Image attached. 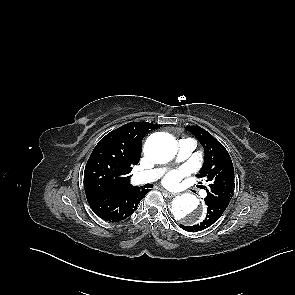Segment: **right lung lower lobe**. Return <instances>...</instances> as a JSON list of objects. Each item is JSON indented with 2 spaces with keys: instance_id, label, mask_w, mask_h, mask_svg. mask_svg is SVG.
I'll use <instances>...</instances> for the list:
<instances>
[{
  "instance_id": "right-lung-lower-lobe-1",
  "label": "right lung lower lobe",
  "mask_w": 295,
  "mask_h": 295,
  "mask_svg": "<svg viewBox=\"0 0 295 295\" xmlns=\"http://www.w3.org/2000/svg\"><path fill=\"white\" fill-rule=\"evenodd\" d=\"M148 190L127 187L123 190L86 192L92 210L102 219L118 222L129 217Z\"/></svg>"
}]
</instances>
